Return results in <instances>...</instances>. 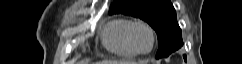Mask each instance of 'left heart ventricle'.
<instances>
[{"label": "left heart ventricle", "instance_id": "1", "mask_svg": "<svg viewBox=\"0 0 242 64\" xmlns=\"http://www.w3.org/2000/svg\"><path fill=\"white\" fill-rule=\"evenodd\" d=\"M133 40L137 48L141 51H147L151 47V36L143 27L134 29Z\"/></svg>", "mask_w": 242, "mask_h": 64}]
</instances>
